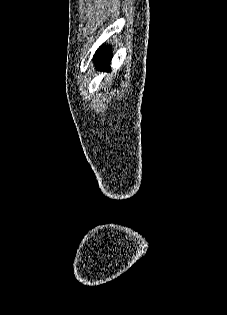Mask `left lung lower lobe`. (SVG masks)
Returning a JSON list of instances; mask_svg holds the SVG:
<instances>
[{"label": "left lung lower lobe", "instance_id": "0a47b994", "mask_svg": "<svg viewBox=\"0 0 227 315\" xmlns=\"http://www.w3.org/2000/svg\"><path fill=\"white\" fill-rule=\"evenodd\" d=\"M112 58L109 46H101L94 55V61L98 70L109 71V65Z\"/></svg>", "mask_w": 227, "mask_h": 315}]
</instances>
